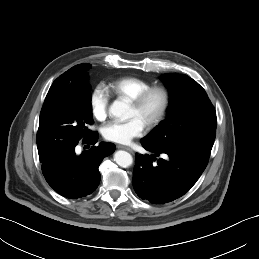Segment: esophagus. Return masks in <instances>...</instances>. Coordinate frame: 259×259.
I'll return each mask as SVG.
<instances>
[{
  "instance_id": "esophagus-1",
  "label": "esophagus",
  "mask_w": 259,
  "mask_h": 259,
  "mask_svg": "<svg viewBox=\"0 0 259 259\" xmlns=\"http://www.w3.org/2000/svg\"><path fill=\"white\" fill-rule=\"evenodd\" d=\"M117 148L127 150V151H129L130 153L133 152V150H132L130 147H127V146L117 145Z\"/></svg>"
}]
</instances>
